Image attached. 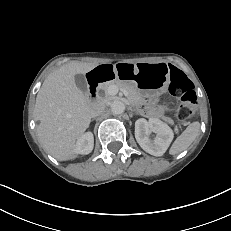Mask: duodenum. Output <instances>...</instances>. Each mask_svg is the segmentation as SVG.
<instances>
[{
  "instance_id": "obj_1",
  "label": "duodenum",
  "mask_w": 231,
  "mask_h": 231,
  "mask_svg": "<svg viewBox=\"0 0 231 231\" xmlns=\"http://www.w3.org/2000/svg\"><path fill=\"white\" fill-rule=\"evenodd\" d=\"M108 76V70L102 68L96 71L91 78L89 79V94L91 98H95L97 96V86L100 82L105 80Z\"/></svg>"
}]
</instances>
